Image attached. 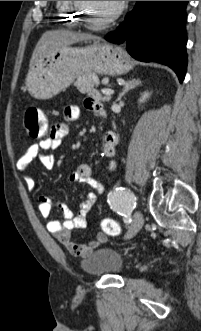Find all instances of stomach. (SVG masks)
Listing matches in <instances>:
<instances>
[{
    "label": "stomach",
    "instance_id": "obj_1",
    "mask_svg": "<svg viewBox=\"0 0 201 331\" xmlns=\"http://www.w3.org/2000/svg\"><path fill=\"white\" fill-rule=\"evenodd\" d=\"M133 68L126 53L111 44L95 42L85 47L65 46L30 69L26 85L37 99H49L89 73L121 75Z\"/></svg>",
    "mask_w": 201,
    "mask_h": 331
}]
</instances>
